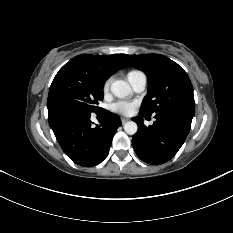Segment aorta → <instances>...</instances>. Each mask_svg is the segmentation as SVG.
I'll return each instance as SVG.
<instances>
[{
  "mask_svg": "<svg viewBox=\"0 0 233 233\" xmlns=\"http://www.w3.org/2000/svg\"><path fill=\"white\" fill-rule=\"evenodd\" d=\"M111 92L118 98H125L132 94L130 85L123 80H116L110 86ZM124 130L129 135H134L138 126L134 121H128L124 124Z\"/></svg>",
  "mask_w": 233,
  "mask_h": 233,
  "instance_id": "762f6f07",
  "label": "aorta"
}]
</instances>
